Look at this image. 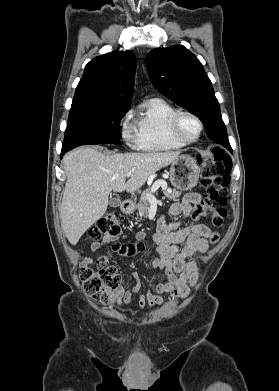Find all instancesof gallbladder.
Masks as SVG:
<instances>
[{"label": "gallbladder", "instance_id": "bac80fb5", "mask_svg": "<svg viewBox=\"0 0 279 391\" xmlns=\"http://www.w3.org/2000/svg\"><path fill=\"white\" fill-rule=\"evenodd\" d=\"M109 204L112 207H118L121 205V200L119 198H112L110 199Z\"/></svg>", "mask_w": 279, "mask_h": 391}]
</instances>
